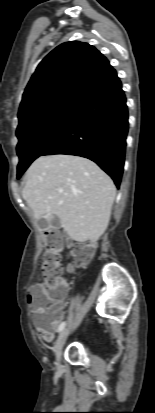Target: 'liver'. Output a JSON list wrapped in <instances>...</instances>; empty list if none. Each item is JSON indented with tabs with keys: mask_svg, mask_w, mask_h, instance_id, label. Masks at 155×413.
I'll return each mask as SVG.
<instances>
[{
	"mask_svg": "<svg viewBox=\"0 0 155 413\" xmlns=\"http://www.w3.org/2000/svg\"><path fill=\"white\" fill-rule=\"evenodd\" d=\"M115 195L112 179L94 162L66 154L36 159L26 172L22 190L36 220L56 215L69 237L78 242H96L105 232Z\"/></svg>",
	"mask_w": 155,
	"mask_h": 413,
	"instance_id": "1",
	"label": "liver"
}]
</instances>
